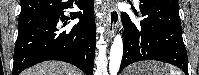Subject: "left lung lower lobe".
<instances>
[{
  "instance_id": "1",
  "label": "left lung lower lobe",
  "mask_w": 199,
  "mask_h": 75,
  "mask_svg": "<svg viewBox=\"0 0 199 75\" xmlns=\"http://www.w3.org/2000/svg\"><path fill=\"white\" fill-rule=\"evenodd\" d=\"M140 11L145 16L140 26L126 13L121 14L125 33L120 71L134 62L158 60L173 64L188 75L178 0H140Z\"/></svg>"
}]
</instances>
